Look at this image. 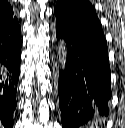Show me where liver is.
Instances as JSON below:
<instances>
[{"label":"liver","mask_w":125,"mask_h":128,"mask_svg":"<svg viewBox=\"0 0 125 128\" xmlns=\"http://www.w3.org/2000/svg\"><path fill=\"white\" fill-rule=\"evenodd\" d=\"M0 128H2V125H1V123H0Z\"/></svg>","instance_id":"1"}]
</instances>
